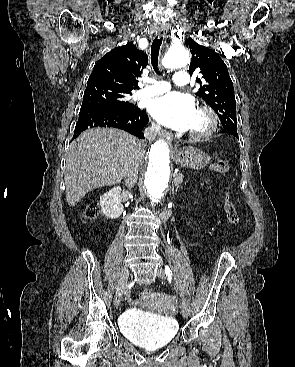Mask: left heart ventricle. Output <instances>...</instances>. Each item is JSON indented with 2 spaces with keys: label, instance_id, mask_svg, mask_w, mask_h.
<instances>
[{
  "label": "left heart ventricle",
  "instance_id": "left-heart-ventricle-1",
  "mask_svg": "<svg viewBox=\"0 0 295 367\" xmlns=\"http://www.w3.org/2000/svg\"><path fill=\"white\" fill-rule=\"evenodd\" d=\"M206 126H207L206 118L204 116L196 113L189 130H191V131H202L206 128Z\"/></svg>",
  "mask_w": 295,
  "mask_h": 367
}]
</instances>
